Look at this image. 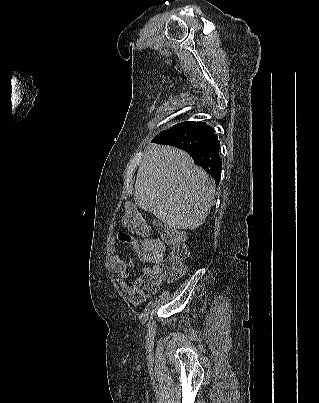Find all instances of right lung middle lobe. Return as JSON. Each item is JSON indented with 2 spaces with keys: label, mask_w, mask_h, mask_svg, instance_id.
Masks as SVG:
<instances>
[{
  "label": "right lung middle lobe",
  "mask_w": 319,
  "mask_h": 403,
  "mask_svg": "<svg viewBox=\"0 0 319 403\" xmlns=\"http://www.w3.org/2000/svg\"><path fill=\"white\" fill-rule=\"evenodd\" d=\"M193 122H194V121L182 122V123H179V124L174 125L173 127H175V128L184 127V126H187V125H189V124H191V123H193Z\"/></svg>",
  "instance_id": "obj_1"
}]
</instances>
